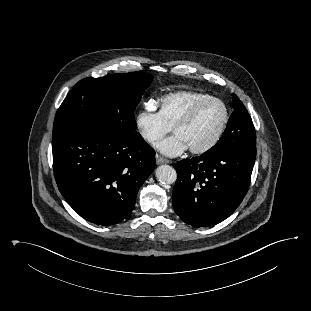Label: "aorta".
<instances>
[{"mask_svg": "<svg viewBox=\"0 0 311 311\" xmlns=\"http://www.w3.org/2000/svg\"><path fill=\"white\" fill-rule=\"evenodd\" d=\"M156 178L163 184H173L176 181V170L169 165H161L155 171Z\"/></svg>", "mask_w": 311, "mask_h": 311, "instance_id": "762f6f07", "label": "aorta"}]
</instances>
